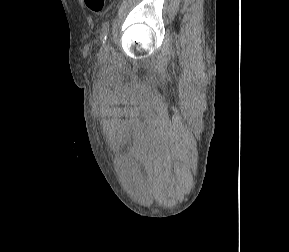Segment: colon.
I'll return each instance as SVG.
<instances>
[{
    "label": "colon",
    "instance_id": "colon-1",
    "mask_svg": "<svg viewBox=\"0 0 289 252\" xmlns=\"http://www.w3.org/2000/svg\"><path fill=\"white\" fill-rule=\"evenodd\" d=\"M84 2L88 9L94 13L101 12L105 5V0H84Z\"/></svg>",
    "mask_w": 289,
    "mask_h": 252
}]
</instances>
